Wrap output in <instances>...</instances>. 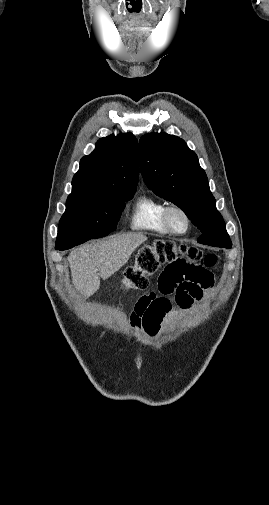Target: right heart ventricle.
<instances>
[{"label":"right heart ventricle","instance_id":"e07e8e85","mask_svg":"<svg viewBox=\"0 0 269 505\" xmlns=\"http://www.w3.org/2000/svg\"><path fill=\"white\" fill-rule=\"evenodd\" d=\"M167 205L149 194L140 195L134 202L130 214L133 230L148 231L156 235H169L162 214Z\"/></svg>","mask_w":269,"mask_h":505}]
</instances>
